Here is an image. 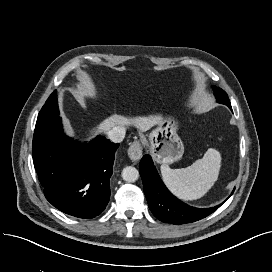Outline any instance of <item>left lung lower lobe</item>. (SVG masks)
Returning a JSON list of instances; mask_svg holds the SVG:
<instances>
[{"label":"left lung lower lobe","instance_id":"0a47b994","mask_svg":"<svg viewBox=\"0 0 272 272\" xmlns=\"http://www.w3.org/2000/svg\"><path fill=\"white\" fill-rule=\"evenodd\" d=\"M231 110L232 108L229 107ZM144 193L153 215L164 223L186 224L203 219L222 204L211 208L191 207L173 196L159 177L149 155H144L139 164Z\"/></svg>","mask_w":272,"mask_h":272}]
</instances>
